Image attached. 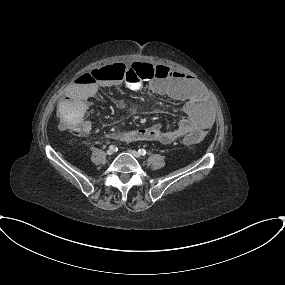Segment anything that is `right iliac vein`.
<instances>
[{
    "mask_svg": "<svg viewBox=\"0 0 285 285\" xmlns=\"http://www.w3.org/2000/svg\"><path fill=\"white\" fill-rule=\"evenodd\" d=\"M108 155H112L114 153V151L112 149H108L106 152Z\"/></svg>",
    "mask_w": 285,
    "mask_h": 285,
    "instance_id": "1",
    "label": "right iliac vein"
}]
</instances>
